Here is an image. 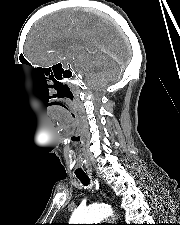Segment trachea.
I'll use <instances>...</instances> for the list:
<instances>
[{"mask_svg":"<svg viewBox=\"0 0 180 225\" xmlns=\"http://www.w3.org/2000/svg\"><path fill=\"white\" fill-rule=\"evenodd\" d=\"M77 178L82 182L83 185L87 186L90 182L87 175H77Z\"/></svg>","mask_w":180,"mask_h":225,"instance_id":"obj_1","label":"trachea"}]
</instances>
